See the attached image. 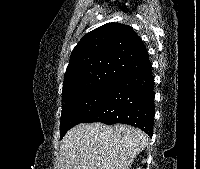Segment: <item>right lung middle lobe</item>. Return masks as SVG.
Wrapping results in <instances>:
<instances>
[{
  "label": "right lung middle lobe",
  "mask_w": 200,
  "mask_h": 169,
  "mask_svg": "<svg viewBox=\"0 0 200 169\" xmlns=\"http://www.w3.org/2000/svg\"><path fill=\"white\" fill-rule=\"evenodd\" d=\"M116 82L117 80L113 79L101 80L83 88L73 96L63 99L65 104L60 122L61 138L67 130L83 122L104 102Z\"/></svg>",
  "instance_id": "obj_1"
}]
</instances>
